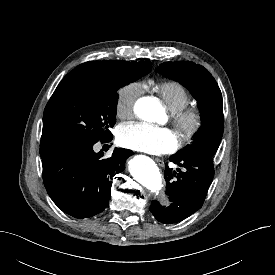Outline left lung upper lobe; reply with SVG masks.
<instances>
[{
    "instance_id": "1",
    "label": "left lung upper lobe",
    "mask_w": 275,
    "mask_h": 275,
    "mask_svg": "<svg viewBox=\"0 0 275 275\" xmlns=\"http://www.w3.org/2000/svg\"><path fill=\"white\" fill-rule=\"evenodd\" d=\"M162 75L179 81L198 101L202 124L191 145L178 151L176 156L208 154L214 156L223 135V100L212 75L190 61L164 62L158 67Z\"/></svg>"
}]
</instances>
